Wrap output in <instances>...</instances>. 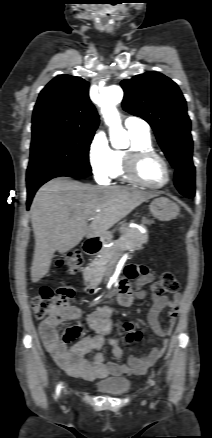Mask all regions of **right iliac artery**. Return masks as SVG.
<instances>
[{"label":"right iliac artery","instance_id":"1","mask_svg":"<svg viewBox=\"0 0 212 438\" xmlns=\"http://www.w3.org/2000/svg\"><path fill=\"white\" fill-rule=\"evenodd\" d=\"M61 390V385L59 384L56 389V395L58 396Z\"/></svg>","mask_w":212,"mask_h":438}]
</instances>
